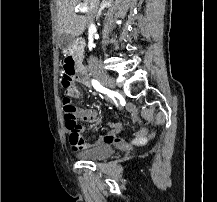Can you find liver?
<instances>
[{"instance_id":"obj_1","label":"liver","mask_w":217,"mask_h":202,"mask_svg":"<svg viewBox=\"0 0 217 202\" xmlns=\"http://www.w3.org/2000/svg\"><path fill=\"white\" fill-rule=\"evenodd\" d=\"M80 0H56L58 12V32L59 34H71L73 38L81 36L86 30L85 16H77L74 12ZM83 8H88L89 0H82ZM87 12V10H84Z\"/></svg>"}]
</instances>
